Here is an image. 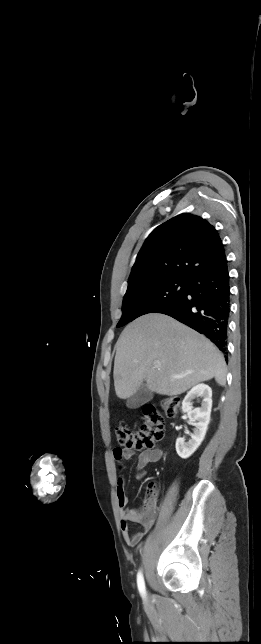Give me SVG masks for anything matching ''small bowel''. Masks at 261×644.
I'll return each mask as SVG.
<instances>
[{
  "instance_id": "small-bowel-1",
  "label": "small bowel",
  "mask_w": 261,
  "mask_h": 644,
  "mask_svg": "<svg viewBox=\"0 0 261 644\" xmlns=\"http://www.w3.org/2000/svg\"><path fill=\"white\" fill-rule=\"evenodd\" d=\"M112 455L121 467L124 461H128L136 457L135 471L136 474L140 476L143 469L149 463L158 462L162 458L163 451L158 447L146 449L143 451H137L133 448L116 447L113 449ZM116 497L120 509V526L124 540L128 545L135 546L151 530V528L153 527V520L151 518H144L135 509L125 508L128 504V496L125 491V480L123 476H120L117 480ZM130 523H140L142 525V530L135 533H130Z\"/></svg>"
}]
</instances>
